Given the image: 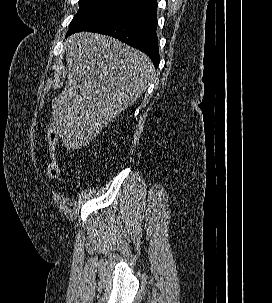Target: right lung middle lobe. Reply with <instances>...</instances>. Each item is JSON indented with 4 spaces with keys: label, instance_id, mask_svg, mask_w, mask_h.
Wrapping results in <instances>:
<instances>
[{
    "label": "right lung middle lobe",
    "instance_id": "obj_1",
    "mask_svg": "<svg viewBox=\"0 0 272 303\" xmlns=\"http://www.w3.org/2000/svg\"><path fill=\"white\" fill-rule=\"evenodd\" d=\"M79 3V10L70 23L67 35L89 30L141 10L136 4L122 0H80Z\"/></svg>",
    "mask_w": 272,
    "mask_h": 303
}]
</instances>
